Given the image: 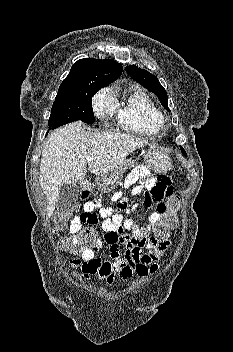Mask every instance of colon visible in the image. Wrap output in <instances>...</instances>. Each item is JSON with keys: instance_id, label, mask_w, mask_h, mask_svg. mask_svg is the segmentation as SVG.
Listing matches in <instances>:
<instances>
[{"instance_id": "1", "label": "colon", "mask_w": 233, "mask_h": 352, "mask_svg": "<svg viewBox=\"0 0 233 352\" xmlns=\"http://www.w3.org/2000/svg\"><path fill=\"white\" fill-rule=\"evenodd\" d=\"M84 192L83 196H87ZM180 210V199L177 196H171L167 202L158 207L161 213L160 221L152 229V234H144L132 240L141 245L161 246L167 244L170 232L178 226V212ZM67 224V217L59 215L55 221V230H62ZM97 243V234L93 228H84L79 233L61 238L59 247L61 250L70 254H80L84 250L92 248Z\"/></svg>"}]
</instances>
